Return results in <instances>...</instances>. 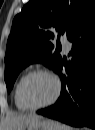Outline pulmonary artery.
Segmentation results:
<instances>
[{
    "instance_id": "1",
    "label": "pulmonary artery",
    "mask_w": 95,
    "mask_h": 130,
    "mask_svg": "<svg viewBox=\"0 0 95 130\" xmlns=\"http://www.w3.org/2000/svg\"><path fill=\"white\" fill-rule=\"evenodd\" d=\"M61 42H62L64 51H65V52H68L69 49H70V42H69L65 37H62V38H61Z\"/></svg>"
}]
</instances>
